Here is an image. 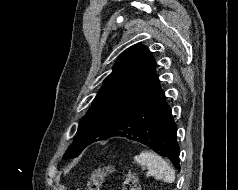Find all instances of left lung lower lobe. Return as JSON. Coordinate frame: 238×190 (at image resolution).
<instances>
[{
	"instance_id": "1",
	"label": "left lung lower lobe",
	"mask_w": 238,
	"mask_h": 190,
	"mask_svg": "<svg viewBox=\"0 0 238 190\" xmlns=\"http://www.w3.org/2000/svg\"><path fill=\"white\" fill-rule=\"evenodd\" d=\"M177 126L157 80L118 119L104 138L121 136L147 145L180 170ZM103 139V140H104Z\"/></svg>"
}]
</instances>
